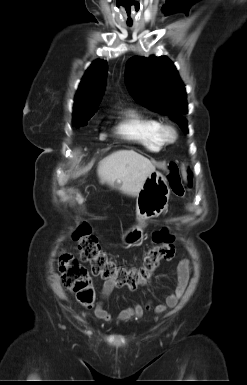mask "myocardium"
Here are the masks:
<instances>
[{
    "label": "myocardium",
    "mask_w": 247,
    "mask_h": 385,
    "mask_svg": "<svg viewBox=\"0 0 247 385\" xmlns=\"http://www.w3.org/2000/svg\"><path fill=\"white\" fill-rule=\"evenodd\" d=\"M158 135L163 144H173L178 137L177 130L170 124H161Z\"/></svg>",
    "instance_id": "f54148a6"
}]
</instances>
